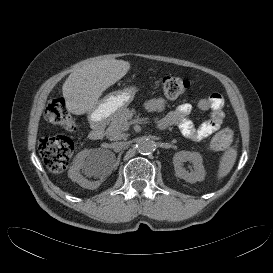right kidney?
Segmentation results:
<instances>
[{
    "label": "right kidney",
    "instance_id": "1",
    "mask_svg": "<svg viewBox=\"0 0 273 273\" xmlns=\"http://www.w3.org/2000/svg\"><path fill=\"white\" fill-rule=\"evenodd\" d=\"M81 169H83L88 176L105 178L111 174L113 163L108 162L106 159L96 160L93 154L88 150H83L76 155L73 165L69 169L68 176L81 187L95 189L99 186V182H89L80 173Z\"/></svg>",
    "mask_w": 273,
    "mask_h": 273
}]
</instances>
